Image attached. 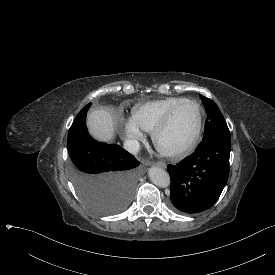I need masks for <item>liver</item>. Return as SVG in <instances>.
<instances>
[{"instance_id": "obj_1", "label": "liver", "mask_w": 275, "mask_h": 275, "mask_svg": "<svg viewBox=\"0 0 275 275\" xmlns=\"http://www.w3.org/2000/svg\"><path fill=\"white\" fill-rule=\"evenodd\" d=\"M86 127L89 135L99 142L110 143L116 138L114 116L106 108L90 111L86 116Z\"/></svg>"}]
</instances>
